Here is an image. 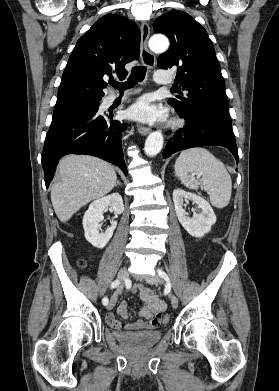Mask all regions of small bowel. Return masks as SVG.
<instances>
[{"label":"small bowel","instance_id":"c3829d8e","mask_svg":"<svg viewBox=\"0 0 279 391\" xmlns=\"http://www.w3.org/2000/svg\"><path fill=\"white\" fill-rule=\"evenodd\" d=\"M131 291L139 292L145 305L138 311V315L145 320H137L132 323L122 324L113 313L106 315V320L115 329H154L161 324V314L166 310V303L160 299L153 291L143 285H133ZM117 315L124 319L130 316L126 301H121L117 307Z\"/></svg>","mask_w":279,"mask_h":391}]
</instances>
